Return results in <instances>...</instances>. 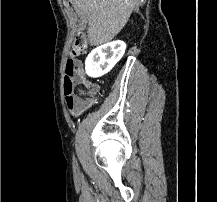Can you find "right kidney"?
<instances>
[{"instance_id":"1","label":"right kidney","mask_w":217,"mask_h":202,"mask_svg":"<svg viewBox=\"0 0 217 202\" xmlns=\"http://www.w3.org/2000/svg\"><path fill=\"white\" fill-rule=\"evenodd\" d=\"M126 50L125 42L122 40H115L109 44L98 46L88 54L85 62V70L88 76L92 78H99L110 72L115 64L121 60Z\"/></svg>"}]
</instances>
